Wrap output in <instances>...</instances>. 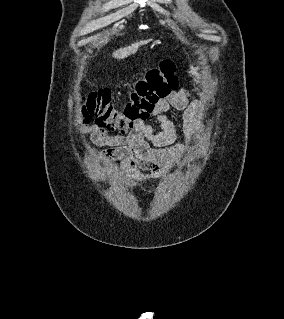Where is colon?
Masks as SVG:
<instances>
[{"mask_svg":"<svg viewBox=\"0 0 284 319\" xmlns=\"http://www.w3.org/2000/svg\"><path fill=\"white\" fill-rule=\"evenodd\" d=\"M174 64L161 62L135 81L127 102L117 107L106 90L90 93L83 100V121L94 119L101 128L127 133L139 122L146 121L156 104L178 87Z\"/></svg>","mask_w":284,"mask_h":319,"instance_id":"obj_1","label":"colon"}]
</instances>
